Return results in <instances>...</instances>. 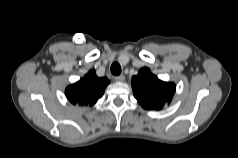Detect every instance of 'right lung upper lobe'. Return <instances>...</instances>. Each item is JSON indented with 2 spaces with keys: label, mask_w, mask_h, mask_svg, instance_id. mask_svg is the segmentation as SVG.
I'll use <instances>...</instances> for the list:
<instances>
[{
  "label": "right lung upper lobe",
  "mask_w": 238,
  "mask_h": 158,
  "mask_svg": "<svg viewBox=\"0 0 238 158\" xmlns=\"http://www.w3.org/2000/svg\"><path fill=\"white\" fill-rule=\"evenodd\" d=\"M109 81L106 78H98L93 70L82 79L66 88L65 94L68 100L76 105H94L104 94Z\"/></svg>",
  "instance_id": "cb5924a9"
}]
</instances>
